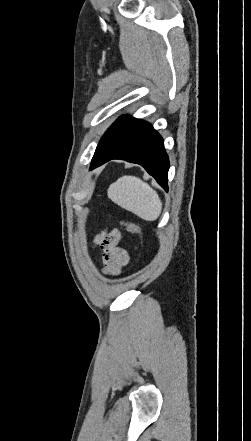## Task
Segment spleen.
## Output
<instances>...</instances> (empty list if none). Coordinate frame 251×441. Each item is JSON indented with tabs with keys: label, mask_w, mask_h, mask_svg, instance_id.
Masks as SVG:
<instances>
[{
	"label": "spleen",
	"mask_w": 251,
	"mask_h": 441,
	"mask_svg": "<svg viewBox=\"0 0 251 441\" xmlns=\"http://www.w3.org/2000/svg\"><path fill=\"white\" fill-rule=\"evenodd\" d=\"M107 194L114 203L147 221L156 220L162 210L157 192L135 176L118 178Z\"/></svg>",
	"instance_id": "3e777b00"
}]
</instances>
